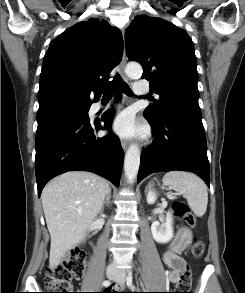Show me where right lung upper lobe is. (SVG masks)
Here are the masks:
<instances>
[{"mask_svg": "<svg viewBox=\"0 0 245 293\" xmlns=\"http://www.w3.org/2000/svg\"><path fill=\"white\" fill-rule=\"evenodd\" d=\"M123 39L104 19H89L55 38L44 56L39 108L55 104L91 105L120 62ZM94 93V99L91 94Z\"/></svg>", "mask_w": 245, "mask_h": 293, "instance_id": "right-lung-upper-lobe-1", "label": "right lung upper lobe"}]
</instances>
